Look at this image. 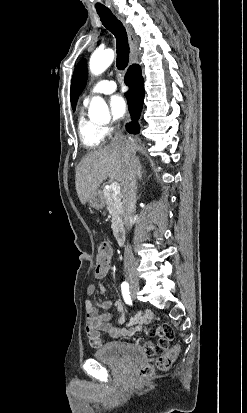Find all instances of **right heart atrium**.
Returning a JSON list of instances; mask_svg holds the SVG:
<instances>
[{
  "mask_svg": "<svg viewBox=\"0 0 247 413\" xmlns=\"http://www.w3.org/2000/svg\"><path fill=\"white\" fill-rule=\"evenodd\" d=\"M100 128L103 130L104 134H108L110 132L109 127H100Z\"/></svg>",
  "mask_w": 247,
  "mask_h": 413,
  "instance_id": "d8ad5b80",
  "label": "right heart atrium"
}]
</instances>
